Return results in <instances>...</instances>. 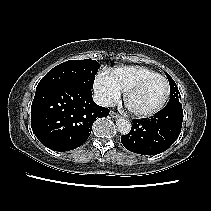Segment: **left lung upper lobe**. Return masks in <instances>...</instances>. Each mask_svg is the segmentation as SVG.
I'll return each instance as SVG.
<instances>
[{
    "label": "left lung upper lobe",
    "mask_w": 211,
    "mask_h": 211,
    "mask_svg": "<svg viewBox=\"0 0 211 211\" xmlns=\"http://www.w3.org/2000/svg\"><path fill=\"white\" fill-rule=\"evenodd\" d=\"M170 84V99L168 104H173V103H178L181 100L180 92L178 90V87L174 80L167 74L165 73Z\"/></svg>",
    "instance_id": "obj_1"
}]
</instances>
